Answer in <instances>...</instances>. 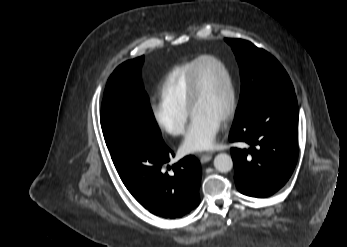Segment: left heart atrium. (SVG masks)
Listing matches in <instances>:
<instances>
[{
	"label": "left heart atrium",
	"mask_w": 347,
	"mask_h": 247,
	"mask_svg": "<svg viewBox=\"0 0 347 247\" xmlns=\"http://www.w3.org/2000/svg\"><path fill=\"white\" fill-rule=\"evenodd\" d=\"M222 120L205 115H192V120L181 143L184 154H192L210 149L220 131Z\"/></svg>",
	"instance_id": "1"
}]
</instances>
